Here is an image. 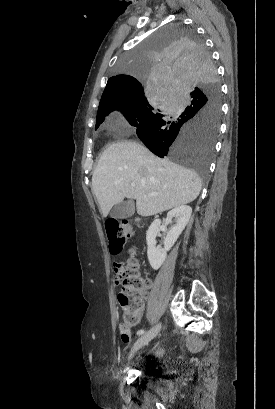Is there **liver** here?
I'll use <instances>...</instances> for the list:
<instances>
[{
    "label": "liver",
    "instance_id": "6515ba94",
    "mask_svg": "<svg viewBox=\"0 0 275 409\" xmlns=\"http://www.w3.org/2000/svg\"><path fill=\"white\" fill-rule=\"evenodd\" d=\"M92 186L103 217L125 196L136 198L138 215L151 217L192 202L202 180L192 168L158 158L140 142L124 140L113 142L101 154Z\"/></svg>",
    "mask_w": 275,
    "mask_h": 409
}]
</instances>
